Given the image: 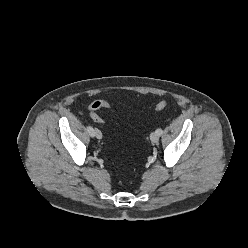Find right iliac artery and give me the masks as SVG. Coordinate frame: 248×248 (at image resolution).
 <instances>
[{"mask_svg": "<svg viewBox=\"0 0 248 248\" xmlns=\"http://www.w3.org/2000/svg\"><path fill=\"white\" fill-rule=\"evenodd\" d=\"M87 131L91 136H94V129L90 125L87 126Z\"/></svg>", "mask_w": 248, "mask_h": 248, "instance_id": "1", "label": "right iliac artery"}]
</instances>
